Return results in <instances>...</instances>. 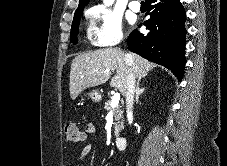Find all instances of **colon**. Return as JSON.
I'll list each match as a JSON object with an SVG mask.
<instances>
[{
  "label": "colon",
  "mask_w": 227,
  "mask_h": 166,
  "mask_svg": "<svg viewBox=\"0 0 227 166\" xmlns=\"http://www.w3.org/2000/svg\"><path fill=\"white\" fill-rule=\"evenodd\" d=\"M65 138L68 143L77 144L83 141L85 136L76 124L68 123L65 126Z\"/></svg>",
  "instance_id": "5ec220e1"
}]
</instances>
